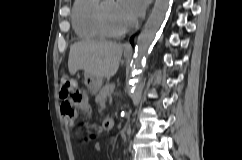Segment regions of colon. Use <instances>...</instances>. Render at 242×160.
Listing matches in <instances>:
<instances>
[{
  "label": "colon",
  "instance_id": "colon-1",
  "mask_svg": "<svg viewBox=\"0 0 242 160\" xmlns=\"http://www.w3.org/2000/svg\"><path fill=\"white\" fill-rule=\"evenodd\" d=\"M60 97L66 103L62 107V114L67 118H75L80 106L85 102V92L66 73L60 77Z\"/></svg>",
  "mask_w": 242,
  "mask_h": 160
}]
</instances>
